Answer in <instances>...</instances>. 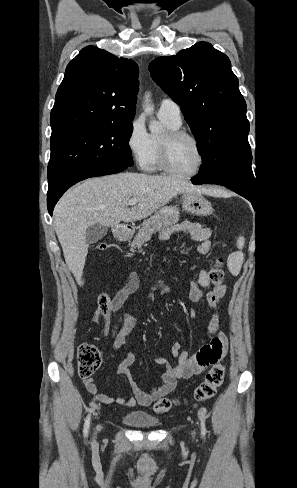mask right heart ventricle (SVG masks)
Returning <instances> with one entry per match:
<instances>
[{
  "instance_id": "right-heart-ventricle-1",
  "label": "right heart ventricle",
  "mask_w": 297,
  "mask_h": 488,
  "mask_svg": "<svg viewBox=\"0 0 297 488\" xmlns=\"http://www.w3.org/2000/svg\"><path fill=\"white\" fill-rule=\"evenodd\" d=\"M163 122L166 124L169 130H177L180 128V125H175L167 120H163ZM159 142H160L159 138L155 136H151V153L145 167L152 171L161 169L159 163Z\"/></svg>"
}]
</instances>
